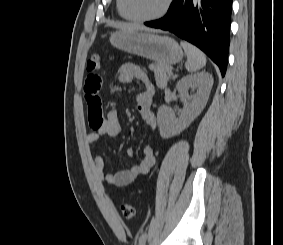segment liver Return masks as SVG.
<instances>
[{
  "label": "liver",
  "mask_w": 283,
  "mask_h": 245,
  "mask_svg": "<svg viewBox=\"0 0 283 245\" xmlns=\"http://www.w3.org/2000/svg\"><path fill=\"white\" fill-rule=\"evenodd\" d=\"M110 26L114 28H118L120 30H124V31L146 30L145 28L139 27L134 24H128V23H111Z\"/></svg>",
  "instance_id": "liver-1"
}]
</instances>
